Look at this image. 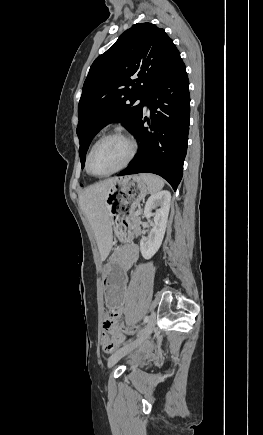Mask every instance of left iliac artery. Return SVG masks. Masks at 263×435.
Here are the masks:
<instances>
[{"label": "left iliac artery", "mask_w": 263, "mask_h": 435, "mask_svg": "<svg viewBox=\"0 0 263 435\" xmlns=\"http://www.w3.org/2000/svg\"><path fill=\"white\" fill-rule=\"evenodd\" d=\"M148 320H149V317L148 316H145L144 317V324H146L147 322H148ZM131 341V339H129V342Z\"/></svg>", "instance_id": "1"}]
</instances>
